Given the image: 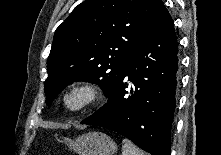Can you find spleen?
<instances>
[{"instance_id": "obj_1", "label": "spleen", "mask_w": 221, "mask_h": 155, "mask_svg": "<svg viewBox=\"0 0 221 155\" xmlns=\"http://www.w3.org/2000/svg\"><path fill=\"white\" fill-rule=\"evenodd\" d=\"M122 144V155H144V153L139 148H137L131 141L124 139L122 141Z\"/></svg>"}]
</instances>
